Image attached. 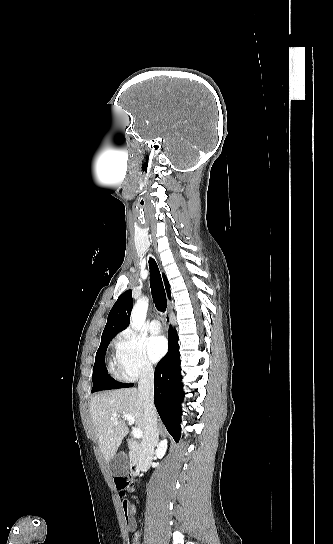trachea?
<instances>
[{"instance_id": "obj_1", "label": "trachea", "mask_w": 333, "mask_h": 544, "mask_svg": "<svg viewBox=\"0 0 333 544\" xmlns=\"http://www.w3.org/2000/svg\"><path fill=\"white\" fill-rule=\"evenodd\" d=\"M149 269H150V287L153 297V302L155 307L160 312H165L167 308V299L160 275L159 268L154 259H149Z\"/></svg>"}]
</instances>
